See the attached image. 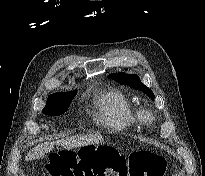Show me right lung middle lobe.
<instances>
[{
  "instance_id": "obj_1",
  "label": "right lung middle lobe",
  "mask_w": 205,
  "mask_h": 176,
  "mask_svg": "<svg viewBox=\"0 0 205 176\" xmlns=\"http://www.w3.org/2000/svg\"><path fill=\"white\" fill-rule=\"evenodd\" d=\"M76 91L69 93H59L49 96L42 112L46 115L58 116L63 114L69 107Z\"/></svg>"
}]
</instances>
